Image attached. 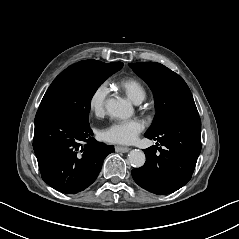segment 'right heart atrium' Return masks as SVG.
Returning <instances> with one entry per match:
<instances>
[{"mask_svg":"<svg viewBox=\"0 0 239 239\" xmlns=\"http://www.w3.org/2000/svg\"><path fill=\"white\" fill-rule=\"evenodd\" d=\"M108 94L109 87L105 82H101L93 88L88 98V107L91 113L100 116L105 112Z\"/></svg>","mask_w":239,"mask_h":239,"instance_id":"right-heart-atrium-1","label":"right heart atrium"}]
</instances>
